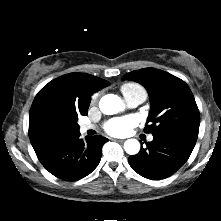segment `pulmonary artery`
Masks as SVG:
<instances>
[{"mask_svg":"<svg viewBox=\"0 0 221 221\" xmlns=\"http://www.w3.org/2000/svg\"><path fill=\"white\" fill-rule=\"evenodd\" d=\"M125 101L129 107H136L146 99V94L142 92L133 93L131 95L124 96ZM94 128L92 124H82L80 126V132L86 133L87 131ZM149 141L153 140V136L148 137Z\"/></svg>","mask_w":221,"mask_h":221,"instance_id":"1","label":"pulmonary artery"}]
</instances>
